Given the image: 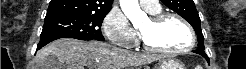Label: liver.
<instances>
[{"instance_id":"1","label":"liver","mask_w":246,"mask_h":69,"mask_svg":"<svg viewBox=\"0 0 246 69\" xmlns=\"http://www.w3.org/2000/svg\"><path fill=\"white\" fill-rule=\"evenodd\" d=\"M52 55L55 64H66L67 69H124L157 60L153 54H140L111 46L100 41L58 39L42 48L36 55V67L44 69L46 58ZM38 69V68H36ZM52 69V68H50Z\"/></svg>"}]
</instances>
